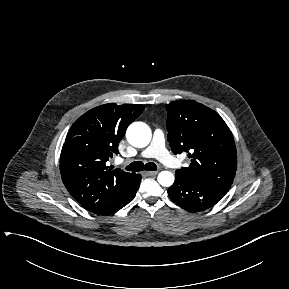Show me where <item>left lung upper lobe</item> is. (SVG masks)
Returning a JSON list of instances; mask_svg holds the SVG:
<instances>
[{"mask_svg": "<svg viewBox=\"0 0 289 289\" xmlns=\"http://www.w3.org/2000/svg\"><path fill=\"white\" fill-rule=\"evenodd\" d=\"M168 141L172 151L188 154L191 164L176 173L228 191L237 167L233 135L214 110L193 100H177L166 105Z\"/></svg>", "mask_w": 289, "mask_h": 289, "instance_id": "left-lung-upper-lobe-1", "label": "left lung upper lobe"}]
</instances>
